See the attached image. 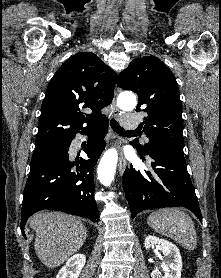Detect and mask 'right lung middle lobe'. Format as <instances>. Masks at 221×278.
<instances>
[{
    "label": "right lung middle lobe",
    "instance_id": "1",
    "mask_svg": "<svg viewBox=\"0 0 221 278\" xmlns=\"http://www.w3.org/2000/svg\"><path fill=\"white\" fill-rule=\"evenodd\" d=\"M64 141L65 140H58L35 146V150L31 160V165H35L38 162H40L49 152L61 146Z\"/></svg>",
    "mask_w": 221,
    "mask_h": 278
}]
</instances>
